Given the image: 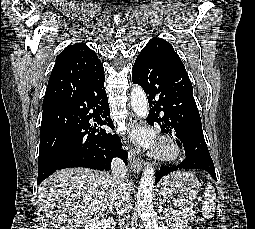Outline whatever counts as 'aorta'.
Returning a JSON list of instances; mask_svg holds the SVG:
<instances>
[{"instance_id": "762f6f07", "label": "aorta", "mask_w": 255, "mask_h": 229, "mask_svg": "<svg viewBox=\"0 0 255 229\" xmlns=\"http://www.w3.org/2000/svg\"><path fill=\"white\" fill-rule=\"evenodd\" d=\"M131 106L135 114L145 118L148 116L149 105L143 89L135 85L130 94ZM154 168L147 166L141 176L137 194L138 213L146 229H158L153 214Z\"/></svg>"}]
</instances>
